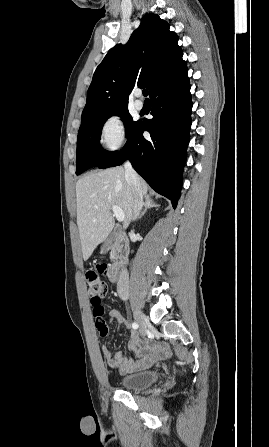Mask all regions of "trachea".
I'll use <instances>...</instances> for the list:
<instances>
[{
    "mask_svg": "<svg viewBox=\"0 0 269 447\" xmlns=\"http://www.w3.org/2000/svg\"><path fill=\"white\" fill-rule=\"evenodd\" d=\"M143 95H144V97H147V95H148V90H143ZM148 100V99H147Z\"/></svg>",
    "mask_w": 269,
    "mask_h": 447,
    "instance_id": "obj_1",
    "label": "trachea"
}]
</instances>
